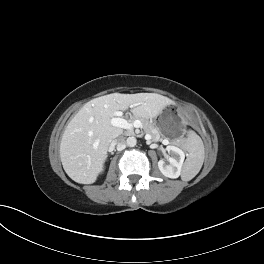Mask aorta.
<instances>
[{"label":"aorta","instance_id":"1","mask_svg":"<svg viewBox=\"0 0 264 264\" xmlns=\"http://www.w3.org/2000/svg\"><path fill=\"white\" fill-rule=\"evenodd\" d=\"M126 144L129 147H134L137 144V139L135 137H128L126 140Z\"/></svg>","mask_w":264,"mask_h":264}]
</instances>
